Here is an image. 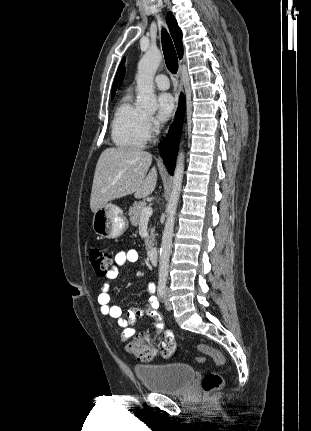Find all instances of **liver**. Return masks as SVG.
I'll return each instance as SVG.
<instances>
[{"label": "liver", "mask_w": 311, "mask_h": 431, "mask_svg": "<svg viewBox=\"0 0 311 431\" xmlns=\"http://www.w3.org/2000/svg\"><path fill=\"white\" fill-rule=\"evenodd\" d=\"M149 152L141 148H107L96 166L90 196L91 212H97L108 202L134 194L142 200L153 194L157 184V168Z\"/></svg>", "instance_id": "1"}]
</instances>
